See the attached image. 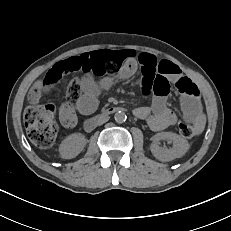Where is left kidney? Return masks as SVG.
<instances>
[{"instance_id": "left-kidney-1", "label": "left kidney", "mask_w": 231, "mask_h": 231, "mask_svg": "<svg viewBox=\"0 0 231 231\" xmlns=\"http://www.w3.org/2000/svg\"><path fill=\"white\" fill-rule=\"evenodd\" d=\"M159 140H171L173 148L165 149L159 146ZM151 152L158 160L167 162L182 157L189 149L188 141L172 132H160L154 136V142L150 146Z\"/></svg>"}]
</instances>
